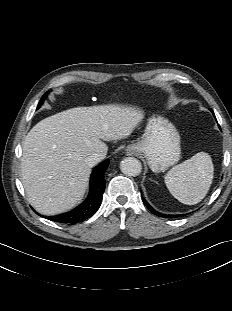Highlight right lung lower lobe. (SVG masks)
Listing matches in <instances>:
<instances>
[{"mask_svg": "<svg viewBox=\"0 0 232 311\" xmlns=\"http://www.w3.org/2000/svg\"><path fill=\"white\" fill-rule=\"evenodd\" d=\"M109 165V160H105L95 167L90 178V192L87 199L70 212L45 217L51 221L60 223L75 224L91 217L99 209L105 187L104 171Z\"/></svg>", "mask_w": 232, "mask_h": 311, "instance_id": "98d812e1", "label": "right lung lower lobe"}]
</instances>
